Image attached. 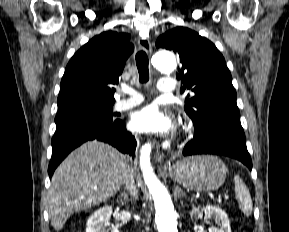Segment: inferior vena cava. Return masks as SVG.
<instances>
[{
	"instance_id": "602c4592",
	"label": "inferior vena cava",
	"mask_w": 289,
	"mask_h": 232,
	"mask_svg": "<svg viewBox=\"0 0 289 232\" xmlns=\"http://www.w3.org/2000/svg\"><path fill=\"white\" fill-rule=\"evenodd\" d=\"M124 184L130 190V194L137 198V189L134 185V173L130 168L124 173Z\"/></svg>"
}]
</instances>
